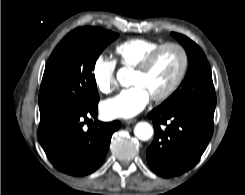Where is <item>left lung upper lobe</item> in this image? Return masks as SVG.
Masks as SVG:
<instances>
[{
    "label": "left lung upper lobe",
    "mask_w": 245,
    "mask_h": 195,
    "mask_svg": "<svg viewBox=\"0 0 245 195\" xmlns=\"http://www.w3.org/2000/svg\"><path fill=\"white\" fill-rule=\"evenodd\" d=\"M171 34L186 50L188 70L180 88L160 106L215 110L216 95L210 65L204 52L186 36L174 32Z\"/></svg>",
    "instance_id": "5c2ea615"
}]
</instances>
